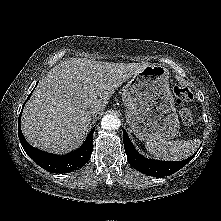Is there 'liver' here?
Instances as JSON below:
<instances>
[{
    "label": "liver",
    "instance_id": "6515ba94",
    "mask_svg": "<svg viewBox=\"0 0 221 221\" xmlns=\"http://www.w3.org/2000/svg\"><path fill=\"white\" fill-rule=\"evenodd\" d=\"M148 64L71 59L54 66L26 103L21 128L34 147L65 153L77 148L92 121L126 80Z\"/></svg>",
    "mask_w": 221,
    "mask_h": 221
}]
</instances>
